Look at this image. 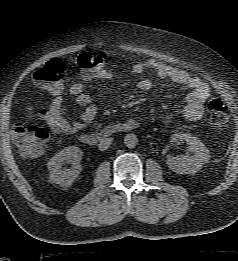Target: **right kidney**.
Masks as SVG:
<instances>
[{
    "mask_svg": "<svg viewBox=\"0 0 238 261\" xmlns=\"http://www.w3.org/2000/svg\"><path fill=\"white\" fill-rule=\"evenodd\" d=\"M82 155V151L77 146H70L56 153L47 163L50 182L61 187L70 186L81 173ZM65 163H71V168L62 169Z\"/></svg>",
    "mask_w": 238,
    "mask_h": 261,
    "instance_id": "ca27d5eb",
    "label": "right kidney"
}]
</instances>
